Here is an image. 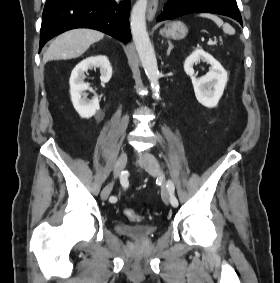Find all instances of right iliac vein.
Wrapping results in <instances>:
<instances>
[{
    "label": "right iliac vein",
    "instance_id": "63e3f726",
    "mask_svg": "<svg viewBox=\"0 0 280 283\" xmlns=\"http://www.w3.org/2000/svg\"><path fill=\"white\" fill-rule=\"evenodd\" d=\"M126 163H127V153L122 152L119 155L117 162H116V165H115V176H118L120 174V172L125 168ZM111 190H112V184H108L101 191L100 197L103 201H105L108 198Z\"/></svg>",
    "mask_w": 280,
    "mask_h": 283
}]
</instances>
